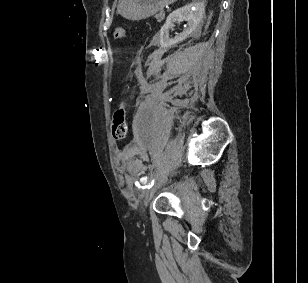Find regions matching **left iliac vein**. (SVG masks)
<instances>
[{
	"label": "left iliac vein",
	"instance_id": "4c4485c4",
	"mask_svg": "<svg viewBox=\"0 0 308 283\" xmlns=\"http://www.w3.org/2000/svg\"><path fill=\"white\" fill-rule=\"evenodd\" d=\"M159 181L156 182L144 195V205L148 206L151 198L153 197L154 193L158 188Z\"/></svg>",
	"mask_w": 308,
	"mask_h": 283
}]
</instances>
